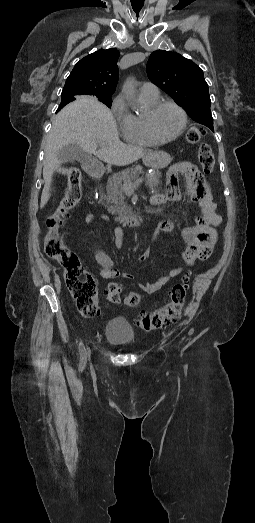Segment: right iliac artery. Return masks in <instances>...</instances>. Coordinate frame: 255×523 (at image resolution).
<instances>
[{"label": "right iliac artery", "mask_w": 255, "mask_h": 523, "mask_svg": "<svg viewBox=\"0 0 255 523\" xmlns=\"http://www.w3.org/2000/svg\"><path fill=\"white\" fill-rule=\"evenodd\" d=\"M79 352H80V365L83 366L86 362V352H85V347L82 342L79 343Z\"/></svg>", "instance_id": "obj_1"}]
</instances>
